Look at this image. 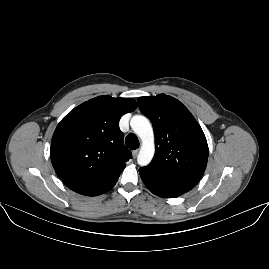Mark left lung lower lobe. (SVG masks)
I'll return each instance as SVG.
<instances>
[{"label":"left lung lower lobe","instance_id":"1","mask_svg":"<svg viewBox=\"0 0 269 269\" xmlns=\"http://www.w3.org/2000/svg\"><path fill=\"white\" fill-rule=\"evenodd\" d=\"M142 181L146 185V187L153 193L163 198H175L178 197L193 187L196 184L165 179L161 177H157L151 174L144 172L143 170H139Z\"/></svg>","mask_w":269,"mask_h":269}]
</instances>
